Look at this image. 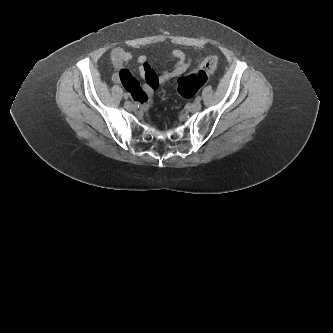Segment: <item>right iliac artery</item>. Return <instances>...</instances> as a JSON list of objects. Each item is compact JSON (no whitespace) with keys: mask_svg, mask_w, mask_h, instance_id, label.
Segmentation results:
<instances>
[{"mask_svg":"<svg viewBox=\"0 0 333 333\" xmlns=\"http://www.w3.org/2000/svg\"><path fill=\"white\" fill-rule=\"evenodd\" d=\"M129 95L127 93H124V98L128 99Z\"/></svg>","mask_w":333,"mask_h":333,"instance_id":"82829eb1","label":"right iliac artery"}]
</instances>
